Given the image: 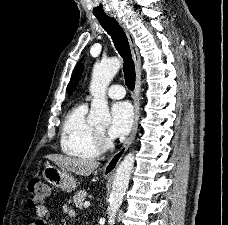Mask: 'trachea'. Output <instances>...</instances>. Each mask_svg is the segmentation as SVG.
Instances as JSON below:
<instances>
[{
    "mask_svg": "<svg viewBox=\"0 0 228 225\" xmlns=\"http://www.w3.org/2000/svg\"><path fill=\"white\" fill-rule=\"evenodd\" d=\"M99 22L104 30L111 36L115 48L123 58V71L126 86L129 90H133L135 87L136 72L127 36L115 18H102L99 19Z\"/></svg>",
    "mask_w": 228,
    "mask_h": 225,
    "instance_id": "3493384b",
    "label": "trachea"
}]
</instances>
